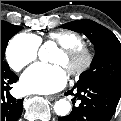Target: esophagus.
I'll return each instance as SVG.
<instances>
[{
    "label": "esophagus",
    "mask_w": 121,
    "mask_h": 121,
    "mask_svg": "<svg viewBox=\"0 0 121 121\" xmlns=\"http://www.w3.org/2000/svg\"><path fill=\"white\" fill-rule=\"evenodd\" d=\"M59 98V95H49V96H46V99L49 100V101H53V100H56Z\"/></svg>",
    "instance_id": "obj_1"
}]
</instances>
